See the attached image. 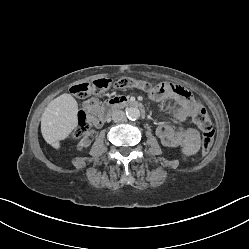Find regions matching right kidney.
Masks as SVG:
<instances>
[{
	"label": "right kidney",
	"mask_w": 249,
	"mask_h": 249,
	"mask_svg": "<svg viewBox=\"0 0 249 249\" xmlns=\"http://www.w3.org/2000/svg\"><path fill=\"white\" fill-rule=\"evenodd\" d=\"M96 132L94 130L88 131L86 133V137H84L78 144L79 147H88L90 145L91 140L95 138Z\"/></svg>",
	"instance_id": "obj_1"
}]
</instances>
